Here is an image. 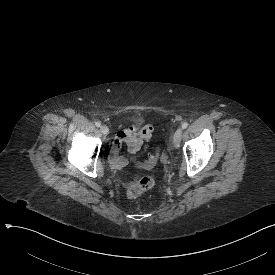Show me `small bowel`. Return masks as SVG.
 <instances>
[{
  "instance_id": "c3829d8e",
  "label": "small bowel",
  "mask_w": 275,
  "mask_h": 275,
  "mask_svg": "<svg viewBox=\"0 0 275 275\" xmlns=\"http://www.w3.org/2000/svg\"><path fill=\"white\" fill-rule=\"evenodd\" d=\"M153 130L154 127L150 123L136 127L130 126L125 131L122 129L117 130L111 149V164L118 169L126 166L129 159L120 154L121 147L126 145L131 155L136 154L140 147L149 141Z\"/></svg>"
}]
</instances>
